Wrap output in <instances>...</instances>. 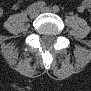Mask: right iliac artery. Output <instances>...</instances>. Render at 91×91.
<instances>
[{"mask_svg":"<svg viewBox=\"0 0 91 91\" xmlns=\"http://www.w3.org/2000/svg\"><path fill=\"white\" fill-rule=\"evenodd\" d=\"M46 3L44 1H38V2H35L33 4H31L28 8H27V13L29 14L30 12L40 8V7H43L45 6Z\"/></svg>","mask_w":91,"mask_h":91,"instance_id":"right-iliac-artery-1","label":"right iliac artery"}]
</instances>
